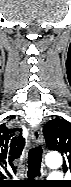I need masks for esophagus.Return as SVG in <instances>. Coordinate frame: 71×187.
I'll return each instance as SVG.
<instances>
[{"instance_id": "esophagus-1", "label": "esophagus", "mask_w": 71, "mask_h": 187, "mask_svg": "<svg viewBox=\"0 0 71 187\" xmlns=\"http://www.w3.org/2000/svg\"><path fill=\"white\" fill-rule=\"evenodd\" d=\"M31 140L34 145L40 146L43 143L42 130L40 127H33L31 129Z\"/></svg>"}]
</instances>
